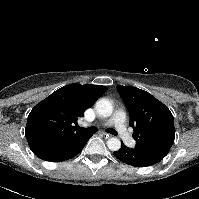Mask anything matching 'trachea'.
<instances>
[{"instance_id":"1","label":"trachea","mask_w":199,"mask_h":199,"mask_svg":"<svg viewBox=\"0 0 199 199\" xmlns=\"http://www.w3.org/2000/svg\"><path fill=\"white\" fill-rule=\"evenodd\" d=\"M79 129L80 131H83L84 133H88V134H94L97 132L96 127H88V128L79 127ZM106 132L115 136L117 135V132L114 129H107Z\"/></svg>"}]
</instances>
